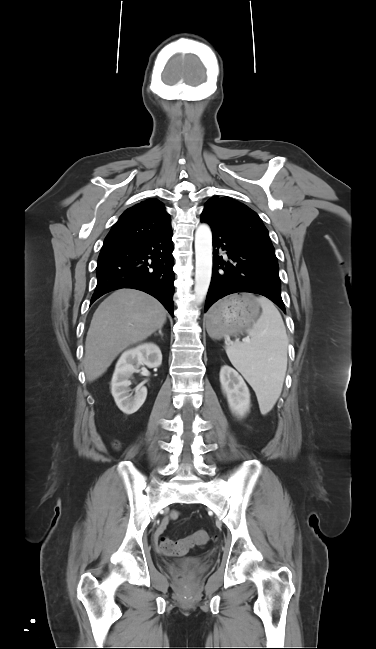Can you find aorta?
Returning a JSON list of instances; mask_svg holds the SVG:
<instances>
[{"label":"aorta","instance_id":"aorta-1","mask_svg":"<svg viewBox=\"0 0 376 649\" xmlns=\"http://www.w3.org/2000/svg\"><path fill=\"white\" fill-rule=\"evenodd\" d=\"M195 304L200 305L207 294L212 274V233L206 224H200L195 232Z\"/></svg>","mask_w":376,"mask_h":649}]
</instances>
